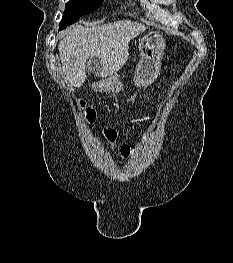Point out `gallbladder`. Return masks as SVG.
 I'll return each instance as SVG.
<instances>
[{
	"label": "gallbladder",
	"instance_id": "obj_1",
	"mask_svg": "<svg viewBox=\"0 0 233 263\" xmlns=\"http://www.w3.org/2000/svg\"><path fill=\"white\" fill-rule=\"evenodd\" d=\"M86 69H87L88 71H90V72H93V71H94V67H93L92 61H89V62L87 63Z\"/></svg>",
	"mask_w": 233,
	"mask_h": 263
}]
</instances>
